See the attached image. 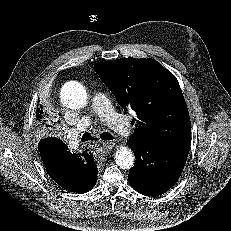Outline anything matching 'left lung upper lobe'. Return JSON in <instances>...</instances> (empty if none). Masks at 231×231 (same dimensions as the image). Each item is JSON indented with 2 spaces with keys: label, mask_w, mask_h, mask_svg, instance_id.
Returning <instances> with one entry per match:
<instances>
[{
  "label": "left lung upper lobe",
  "mask_w": 231,
  "mask_h": 231,
  "mask_svg": "<svg viewBox=\"0 0 231 231\" xmlns=\"http://www.w3.org/2000/svg\"><path fill=\"white\" fill-rule=\"evenodd\" d=\"M94 70L119 105L137 114V128L129 142L189 153L190 117L179 83L170 71L145 58L98 63Z\"/></svg>",
  "instance_id": "5c2ea615"
}]
</instances>
